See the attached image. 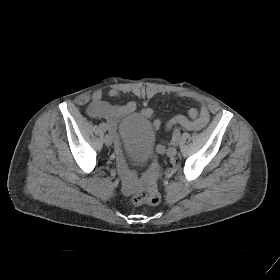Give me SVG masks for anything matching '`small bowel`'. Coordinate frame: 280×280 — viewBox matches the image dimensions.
<instances>
[{
    "mask_svg": "<svg viewBox=\"0 0 280 280\" xmlns=\"http://www.w3.org/2000/svg\"><path fill=\"white\" fill-rule=\"evenodd\" d=\"M120 95L117 89H110L107 92L109 98H116ZM178 96L188 97L196 100L200 103V108L192 107L188 111V115H176L172 117L166 124L168 129H171L175 125H180L183 128L190 131H198L203 129L210 120V112L205 101L190 92H179ZM136 109L135 101H128L123 105H112L103 99V92L101 90L95 91L91 97V101L87 107V114L92 118H102L106 120L107 129L114 133L117 123L126 115L132 113ZM142 114L145 117L151 118L154 116V110L152 108H144ZM156 128L161 126V121L156 119L154 121ZM165 149L164 144L158 146L159 151ZM120 171L124 181V189L126 193H129L139 187V181L127 168L126 164L120 162Z\"/></svg>",
    "mask_w": 280,
    "mask_h": 280,
    "instance_id": "small-bowel-1",
    "label": "small bowel"
}]
</instances>
